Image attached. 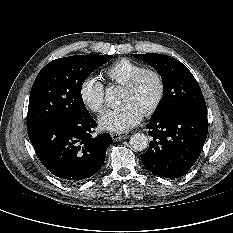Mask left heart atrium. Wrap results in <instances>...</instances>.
Wrapping results in <instances>:
<instances>
[{
  "label": "left heart atrium",
  "mask_w": 233,
  "mask_h": 233,
  "mask_svg": "<svg viewBox=\"0 0 233 233\" xmlns=\"http://www.w3.org/2000/svg\"><path fill=\"white\" fill-rule=\"evenodd\" d=\"M143 118V113L134 105L127 103L120 108L105 113L99 120L102 130L126 132L137 126Z\"/></svg>",
  "instance_id": "39dd6f15"
}]
</instances>
